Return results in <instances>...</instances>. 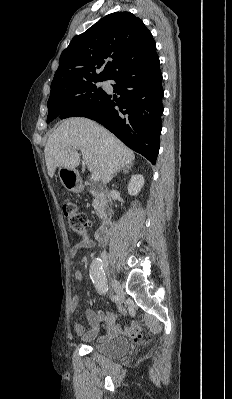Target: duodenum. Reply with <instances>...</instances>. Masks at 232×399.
Returning a JSON list of instances; mask_svg holds the SVG:
<instances>
[{"mask_svg":"<svg viewBox=\"0 0 232 399\" xmlns=\"http://www.w3.org/2000/svg\"><path fill=\"white\" fill-rule=\"evenodd\" d=\"M112 227L113 223L111 221H107L105 224L99 227L95 232V240L97 242H105L112 231Z\"/></svg>","mask_w":232,"mask_h":399,"instance_id":"duodenum-1","label":"duodenum"}]
</instances>
